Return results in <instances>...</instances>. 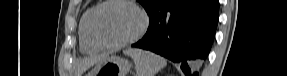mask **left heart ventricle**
Listing matches in <instances>:
<instances>
[{
	"label": "left heart ventricle",
	"mask_w": 287,
	"mask_h": 76,
	"mask_svg": "<svg viewBox=\"0 0 287 76\" xmlns=\"http://www.w3.org/2000/svg\"><path fill=\"white\" fill-rule=\"evenodd\" d=\"M141 26V16L131 6L114 3L103 8L95 22L98 36L107 42H117L133 36Z\"/></svg>",
	"instance_id": "obj_1"
}]
</instances>
